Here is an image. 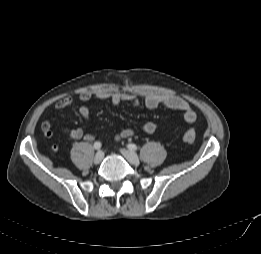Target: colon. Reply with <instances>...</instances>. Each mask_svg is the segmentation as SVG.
Returning <instances> with one entry per match:
<instances>
[{
	"label": "colon",
	"instance_id": "1",
	"mask_svg": "<svg viewBox=\"0 0 261 254\" xmlns=\"http://www.w3.org/2000/svg\"><path fill=\"white\" fill-rule=\"evenodd\" d=\"M47 134H49V131L46 132ZM195 138H196V133L194 130L190 129V130H187L183 136V139H184V142L187 144V145H193L194 144V141H195Z\"/></svg>",
	"mask_w": 261,
	"mask_h": 254
}]
</instances>
